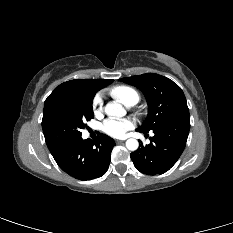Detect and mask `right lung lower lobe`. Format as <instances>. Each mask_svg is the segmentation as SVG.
<instances>
[{"label": "right lung lower lobe", "instance_id": "1", "mask_svg": "<svg viewBox=\"0 0 233 233\" xmlns=\"http://www.w3.org/2000/svg\"><path fill=\"white\" fill-rule=\"evenodd\" d=\"M114 146L111 137L99 134L94 141L80 136L49 150L63 171L76 179L89 180L106 173Z\"/></svg>", "mask_w": 233, "mask_h": 233}]
</instances>
